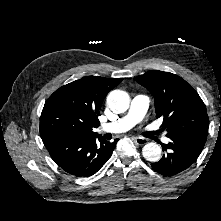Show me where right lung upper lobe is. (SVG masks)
Segmentation results:
<instances>
[{
    "instance_id": "right-lung-upper-lobe-1",
    "label": "right lung upper lobe",
    "mask_w": 221,
    "mask_h": 221,
    "mask_svg": "<svg viewBox=\"0 0 221 221\" xmlns=\"http://www.w3.org/2000/svg\"><path fill=\"white\" fill-rule=\"evenodd\" d=\"M123 78L87 76L57 89L46 101L40 117L41 138L64 134L95 135L98 116L108 92Z\"/></svg>"
}]
</instances>
